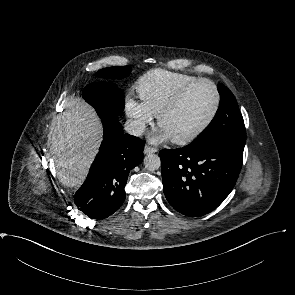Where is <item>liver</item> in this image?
Listing matches in <instances>:
<instances>
[{
  "label": "liver",
  "instance_id": "obj_1",
  "mask_svg": "<svg viewBox=\"0 0 295 295\" xmlns=\"http://www.w3.org/2000/svg\"><path fill=\"white\" fill-rule=\"evenodd\" d=\"M63 107L51 123L52 152L60 181L78 187L98 151L102 128L95 111L78 98H67Z\"/></svg>",
  "mask_w": 295,
  "mask_h": 295
}]
</instances>
